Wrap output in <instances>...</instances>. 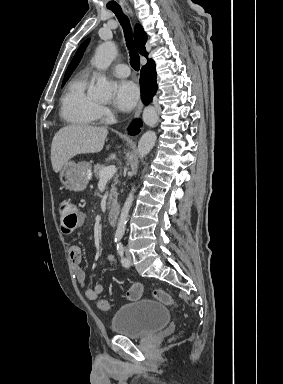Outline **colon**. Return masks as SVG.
Masks as SVG:
<instances>
[{
    "instance_id": "5ec220e1",
    "label": "colon",
    "mask_w": 283,
    "mask_h": 384,
    "mask_svg": "<svg viewBox=\"0 0 283 384\" xmlns=\"http://www.w3.org/2000/svg\"><path fill=\"white\" fill-rule=\"evenodd\" d=\"M59 216L61 230L65 234L73 233L84 222V215L70 199H64L60 202ZM141 294L142 288L140 285L136 284L127 291L126 298L128 300H136L140 298ZM153 297L167 306H176L173 297L162 289L154 290ZM97 306L102 312H108L110 310V303L105 299H100Z\"/></svg>"
}]
</instances>
